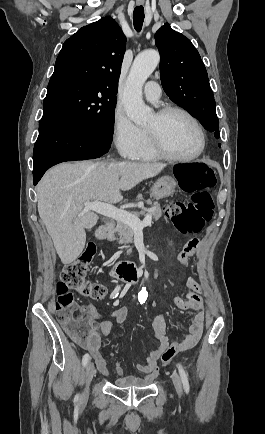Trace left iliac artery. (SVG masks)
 Returning <instances> with one entry per match:
<instances>
[{
    "mask_svg": "<svg viewBox=\"0 0 265 434\" xmlns=\"http://www.w3.org/2000/svg\"><path fill=\"white\" fill-rule=\"evenodd\" d=\"M177 367H178V370H179V374H180V377H181V380H182V384H183L184 390H185L186 393H188L189 392V382H188L187 374H186V372H185V370H184V368H183V366L181 364L178 363Z\"/></svg>",
    "mask_w": 265,
    "mask_h": 434,
    "instance_id": "1",
    "label": "left iliac artery"
}]
</instances>
